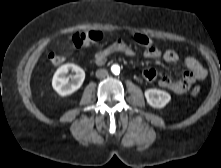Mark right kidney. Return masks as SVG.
I'll list each match as a JSON object with an SVG mask.
<instances>
[{
  "instance_id": "1",
  "label": "right kidney",
  "mask_w": 221,
  "mask_h": 168,
  "mask_svg": "<svg viewBox=\"0 0 221 168\" xmlns=\"http://www.w3.org/2000/svg\"><path fill=\"white\" fill-rule=\"evenodd\" d=\"M75 72V75L70 80L67 76L69 71ZM85 72L75 64L62 65L55 72L52 79L53 89L61 96H67L77 91L83 84Z\"/></svg>"
}]
</instances>
